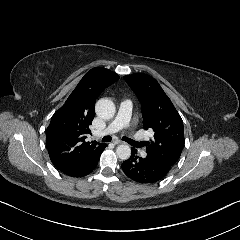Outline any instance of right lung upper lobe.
Here are the masks:
<instances>
[{"mask_svg": "<svg viewBox=\"0 0 240 240\" xmlns=\"http://www.w3.org/2000/svg\"><path fill=\"white\" fill-rule=\"evenodd\" d=\"M118 79L119 76L108 69H91L55 112L47 128L46 145L57 169L79 166L105 147L106 144L86 142L85 134L90 133L97 97Z\"/></svg>", "mask_w": 240, "mask_h": 240, "instance_id": "right-lung-upper-lobe-1", "label": "right lung upper lobe"}]
</instances>
